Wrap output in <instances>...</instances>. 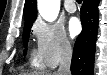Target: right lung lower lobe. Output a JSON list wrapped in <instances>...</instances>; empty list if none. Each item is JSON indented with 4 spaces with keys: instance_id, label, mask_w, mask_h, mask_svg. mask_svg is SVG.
<instances>
[{
    "instance_id": "98d812e1",
    "label": "right lung lower lobe",
    "mask_w": 107,
    "mask_h": 75,
    "mask_svg": "<svg viewBox=\"0 0 107 75\" xmlns=\"http://www.w3.org/2000/svg\"><path fill=\"white\" fill-rule=\"evenodd\" d=\"M99 0H84L81 9L82 32L78 36L71 62L72 75H93L98 30Z\"/></svg>"
}]
</instances>
